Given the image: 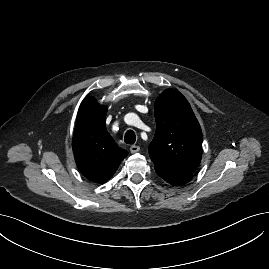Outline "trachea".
Instances as JSON below:
<instances>
[{
  "mask_svg": "<svg viewBox=\"0 0 269 269\" xmlns=\"http://www.w3.org/2000/svg\"><path fill=\"white\" fill-rule=\"evenodd\" d=\"M136 141V135L132 130H128L125 133L124 142L126 144H134Z\"/></svg>",
  "mask_w": 269,
  "mask_h": 269,
  "instance_id": "1",
  "label": "trachea"
}]
</instances>
